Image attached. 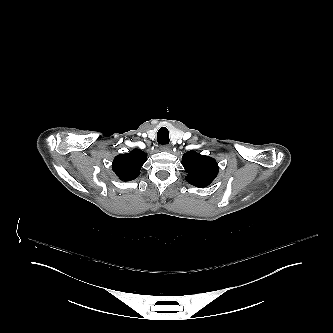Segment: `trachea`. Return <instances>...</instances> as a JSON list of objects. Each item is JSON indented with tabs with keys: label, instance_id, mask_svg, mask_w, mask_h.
Here are the masks:
<instances>
[{
	"label": "trachea",
	"instance_id": "obj_1",
	"mask_svg": "<svg viewBox=\"0 0 333 333\" xmlns=\"http://www.w3.org/2000/svg\"><path fill=\"white\" fill-rule=\"evenodd\" d=\"M157 141L162 145L169 143V131L166 127H162L158 130Z\"/></svg>",
	"mask_w": 333,
	"mask_h": 333
}]
</instances>
